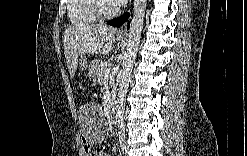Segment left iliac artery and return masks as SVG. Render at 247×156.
Listing matches in <instances>:
<instances>
[{
    "label": "left iliac artery",
    "instance_id": "1",
    "mask_svg": "<svg viewBox=\"0 0 247 156\" xmlns=\"http://www.w3.org/2000/svg\"><path fill=\"white\" fill-rule=\"evenodd\" d=\"M120 144H121L122 151L124 152V149H125V140L123 138L120 140Z\"/></svg>",
    "mask_w": 247,
    "mask_h": 156
}]
</instances>
